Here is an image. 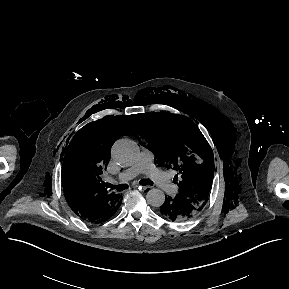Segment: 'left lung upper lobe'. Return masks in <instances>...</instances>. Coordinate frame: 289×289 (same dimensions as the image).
I'll return each mask as SVG.
<instances>
[{
  "label": "left lung upper lobe",
  "instance_id": "left-lung-upper-lobe-1",
  "mask_svg": "<svg viewBox=\"0 0 289 289\" xmlns=\"http://www.w3.org/2000/svg\"><path fill=\"white\" fill-rule=\"evenodd\" d=\"M138 118L140 133L155 161L178 171L174 178L179 186L177 195L203 209L213 181L214 157L198 127L185 116L165 112H150Z\"/></svg>",
  "mask_w": 289,
  "mask_h": 289
}]
</instances>
